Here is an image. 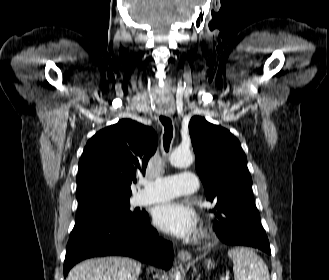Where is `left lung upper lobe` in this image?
Wrapping results in <instances>:
<instances>
[{"mask_svg":"<svg viewBox=\"0 0 329 280\" xmlns=\"http://www.w3.org/2000/svg\"><path fill=\"white\" fill-rule=\"evenodd\" d=\"M189 133L196 154V171L206 198L216 206L214 228L220 232L235 208L251 199L252 179L240 142L227 129L194 116Z\"/></svg>","mask_w":329,"mask_h":280,"instance_id":"obj_1","label":"left lung upper lobe"}]
</instances>
